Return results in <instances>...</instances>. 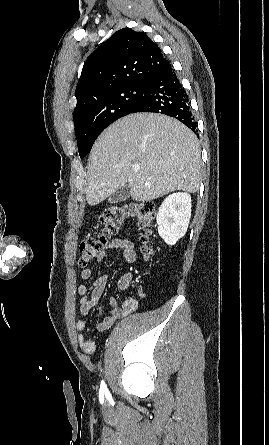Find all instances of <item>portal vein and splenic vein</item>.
<instances>
[{
  "mask_svg": "<svg viewBox=\"0 0 269 445\" xmlns=\"http://www.w3.org/2000/svg\"><path fill=\"white\" fill-rule=\"evenodd\" d=\"M134 170H135L136 172H138V171L140 170V167H135Z\"/></svg>",
  "mask_w": 269,
  "mask_h": 445,
  "instance_id": "1",
  "label": "portal vein and splenic vein"
}]
</instances>
